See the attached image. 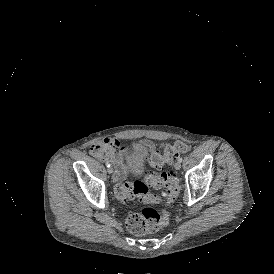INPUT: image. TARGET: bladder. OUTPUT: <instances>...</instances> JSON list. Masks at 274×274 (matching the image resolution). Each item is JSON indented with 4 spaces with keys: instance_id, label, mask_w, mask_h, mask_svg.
Here are the masks:
<instances>
[{
    "instance_id": "bladder-1",
    "label": "bladder",
    "mask_w": 274,
    "mask_h": 274,
    "mask_svg": "<svg viewBox=\"0 0 274 274\" xmlns=\"http://www.w3.org/2000/svg\"><path fill=\"white\" fill-rule=\"evenodd\" d=\"M126 156L132 174H142L148 157V148L139 143L130 144L126 147Z\"/></svg>"
}]
</instances>
